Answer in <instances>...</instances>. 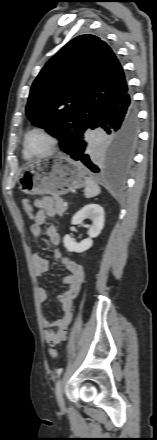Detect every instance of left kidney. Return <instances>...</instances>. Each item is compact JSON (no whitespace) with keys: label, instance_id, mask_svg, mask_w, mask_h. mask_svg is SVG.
<instances>
[{"label":"left kidney","instance_id":"left-kidney-1","mask_svg":"<svg viewBox=\"0 0 157 440\" xmlns=\"http://www.w3.org/2000/svg\"><path fill=\"white\" fill-rule=\"evenodd\" d=\"M91 219L93 221L92 226L89 228L87 239L77 243L70 235H65L63 238L64 247L69 252L81 253L92 247V238L97 237L104 227V210L100 205L88 204L78 211L72 218L71 224H81L85 219Z\"/></svg>","mask_w":157,"mask_h":440}]
</instances>
